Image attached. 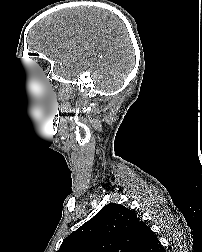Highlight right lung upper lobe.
Instances as JSON below:
<instances>
[{
    "instance_id": "cb5924a9",
    "label": "right lung upper lobe",
    "mask_w": 202,
    "mask_h": 252,
    "mask_svg": "<svg viewBox=\"0 0 202 252\" xmlns=\"http://www.w3.org/2000/svg\"><path fill=\"white\" fill-rule=\"evenodd\" d=\"M154 232L123 205L110 203L69 235L57 252H162Z\"/></svg>"
}]
</instances>
